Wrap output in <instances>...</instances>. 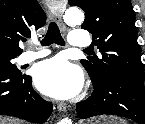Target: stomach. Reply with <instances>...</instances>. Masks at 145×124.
<instances>
[{
	"mask_svg": "<svg viewBox=\"0 0 145 124\" xmlns=\"http://www.w3.org/2000/svg\"><path fill=\"white\" fill-rule=\"evenodd\" d=\"M82 124H125V122L122 119H119L117 117L103 116V117H99L97 119H93Z\"/></svg>",
	"mask_w": 145,
	"mask_h": 124,
	"instance_id": "stomach-1",
	"label": "stomach"
}]
</instances>
